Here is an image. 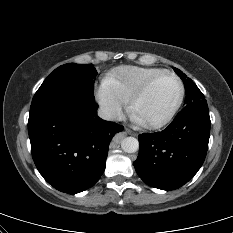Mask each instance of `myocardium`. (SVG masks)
Listing matches in <instances>:
<instances>
[{"mask_svg": "<svg viewBox=\"0 0 233 233\" xmlns=\"http://www.w3.org/2000/svg\"><path fill=\"white\" fill-rule=\"evenodd\" d=\"M166 75L172 76L177 80V82L179 84V89H180L178 99H177L176 103L174 104V106L171 108V110L162 119L157 120V121H153V122H142V125L147 127V128H152V129L161 128V127L165 126L166 124H168L175 117V115L177 114V112L179 111V109L182 106L184 96H185V86H184L182 79L175 72L169 71V70H164V71L154 75L149 80H147L135 92V94L131 97V99L128 102V111L131 115H133V110H134L135 105L146 95V93L149 91L151 86L159 78L166 76Z\"/></svg>", "mask_w": 233, "mask_h": 233, "instance_id": "1", "label": "myocardium"}]
</instances>
